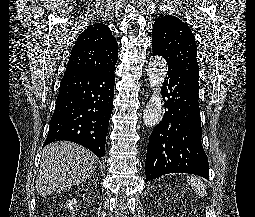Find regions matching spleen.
I'll return each instance as SVG.
<instances>
[{"label": "spleen", "instance_id": "1", "mask_svg": "<svg viewBox=\"0 0 255 217\" xmlns=\"http://www.w3.org/2000/svg\"><path fill=\"white\" fill-rule=\"evenodd\" d=\"M187 181L192 186L193 190L196 192L198 196L203 197L206 195L205 185L200 178L191 176L187 177Z\"/></svg>", "mask_w": 255, "mask_h": 217}]
</instances>
